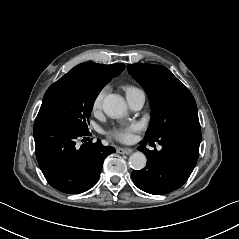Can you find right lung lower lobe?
Listing matches in <instances>:
<instances>
[{
  "label": "right lung lower lobe",
  "instance_id": "1",
  "mask_svg": "<svg viewBox=\"0 0 239 239\" xmlns=\"http://www.w3.org/2000/svg\"><path fill=\"white\" fill-rule=\"evenodd\" d=\"M36 158L48 183L67 194L92 188L100 177L104 159L113 147L86 142L78 149L75 139L89 135L55 119L37 121L33 127Z\"/></svg>",
  "mask_w": 239,
  "mask_h": 239
}]
</instances>
